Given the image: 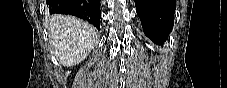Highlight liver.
Returning a JSON list of instances; mask_svg holds the SVG:
<instances>
[{"label": "liver", "instance_id": "6515ba94", "mask_svg": "<svg viewBox=\"0 0 227 88\" xmlns=\"http://www.w3.org/2000/svg\"><path fill=\"white\" fill-rule=\"evenodd\" d=\"M48 26L55 57L66 67L83 61L98 42L96 29L76 17L52 15Z\"/></svg>", "mask_w": 227, "mask_h": 88}]
</instances>
